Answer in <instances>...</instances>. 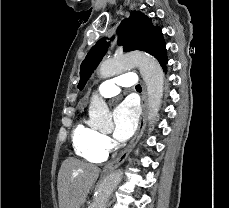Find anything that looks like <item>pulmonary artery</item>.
I'll list each match as a JSON object with an SVG mask.
<instances>
[{"mask_svg": "<svg viewBox=\"0 0 229 208\" xmlns=\"http://www.w3.org/2000/svg\"><path fill=\"white\" fill-rule=\"evenodd\" d=\"M136 77L132 73H119L118 77L109 76L97 90V94L104 98L113 97L120 93L121 87L134 85Z\"/></svg>", "mask_w": 229, "mask_h": 208, "instance_id": "1", "label": "pulmonary artery"}]
</instances>
